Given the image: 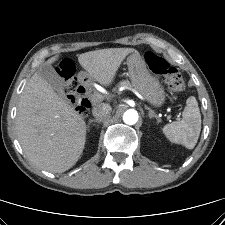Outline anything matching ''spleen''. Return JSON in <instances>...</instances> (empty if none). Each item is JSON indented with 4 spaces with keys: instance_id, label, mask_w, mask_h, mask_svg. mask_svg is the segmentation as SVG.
<instances>
[{
    "instance_id": "spleen-1",
    "label": "spleen",
    "mask_w": 225,
    "mask_h": 225,
    "mask_svg": "<svg viewBox=\"0 0 225 225\" xmlns=\"http://www.w3.org/2000/svg\"><path fill=\"white\" fill-rule=\"evenodd\" d=\"M200 131L201 114L194 96L187 99L182 119L163 127V133L170 142L184 145L188 149L195 147Z\"/></svg>"
}]
</instances>
